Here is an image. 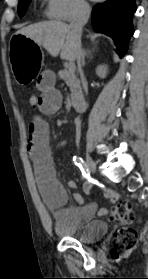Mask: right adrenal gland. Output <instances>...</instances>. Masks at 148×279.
<instances>
[{
	"label": "right adrenal gland",
	"instance_id": "obj_1",
	"mask_svg": "<svg viewBox=\"0 0 148 279\" xmlns=\"http://www.w3.org/2000/svg\"><path fill=\"white\" fill-rule=\"evenodd\" d=\"M90 54H91L90 51H86L85 49L82 50V54H81V64H82L83 67H84V65H85V57H86V55H89L90 58H92V56H91Z\"/></svg>",
	"mask_w": 148,
	"mask_h": 279
}]
</instances>
